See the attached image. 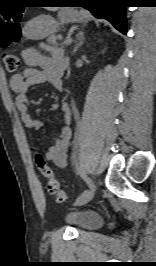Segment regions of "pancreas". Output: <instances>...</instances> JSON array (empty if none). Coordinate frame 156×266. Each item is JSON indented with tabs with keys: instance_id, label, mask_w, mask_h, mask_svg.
Segmentation results:
<instances>
[{
	"instance_id": "cf45deb5",
	"label": "pancreas",
	"mask_w": 156,
	"mask_h": 266,
	"mask_svg": "<svg viewBox=\"0 0 156 266\" xmlns=\"http://www.w3.org/2000/svg\"><path fill=\"white\" fill-rule=\"evenodd\" d=\"M61 36L60 35H51L47 38V44H42V46L46 49V50H53L55 48H57L59 46L57 40H60Z\"/></svg>"
}]
</instances>
